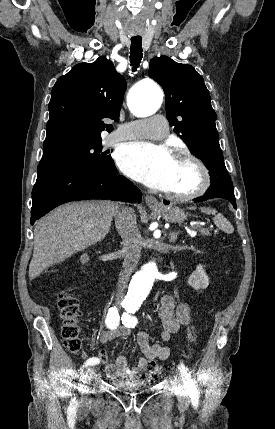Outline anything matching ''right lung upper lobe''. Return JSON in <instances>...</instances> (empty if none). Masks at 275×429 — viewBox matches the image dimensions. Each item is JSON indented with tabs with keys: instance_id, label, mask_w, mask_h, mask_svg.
<instances>
[{
	"instance_id": "obj_1",
	"label": "right lung upper lobe",
	"mask_w": 275,
	"mask_h": 429,
	"mask_svg": "<svg viewBox=\"0 0 275 429\" xmlns=\"http://www.w3.org/2000/svg\"><path fill=\"white\" fill-rule=\"evenodd\" d=\"M125 90L124 77L105 57L77 64L59 77L51 91L43 155L101 141V131L113 129L103 119L118 121Z\"/></svg>"
}]
</instances>
